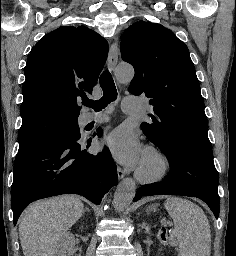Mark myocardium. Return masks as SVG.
<instances>
[{"mask_svg": "<svg viewBox=\"0 0 236 256\" xmlns=\"http://www.w3.org/2000/svg\"><path fill=\"white\" fill-rule=\"evenodd\" d=\"M145 154L154 158L155 169L151 173H146L138 166L135 171V178L142 184H156L163 181L171 170L168 156L159 147L153 145L147 146Z\"/></svg>", "mask_w": 236, "mask_h": 256, "instance_id": "f54148a6", "label": "myocardium"}]
</instances>
